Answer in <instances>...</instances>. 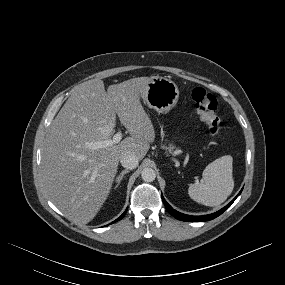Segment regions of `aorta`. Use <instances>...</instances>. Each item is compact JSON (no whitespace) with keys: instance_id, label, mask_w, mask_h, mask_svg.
Returning <instances> with one entry per match:
<instances>
[{"instance_id":"aorta-1","label":"aorta","mask_w":285,"mask_h":285,"mask_svg":"<svg viewBox=\"0 0 285 285\" xmlns=\"http://www.w3.org/2000/svg\"><path fill=\"white\" fill-rule=\"evenodd\" d=\"M141 177L145 182H152L156 178V173L152 168H144L141 172Z\"/></svg>"}]
</instances>
